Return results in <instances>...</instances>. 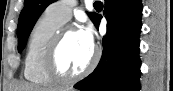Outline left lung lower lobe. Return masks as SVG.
Returning <instances> with one entry per match:
<instances>
[{
    "label": "left lung lower lobe",
    "mask_w": 173,
    "mask_h": 91,
    "mask_svg": "<svg viewBox=\"0 0 173 91\" xmlns=\"http://www.w3.org/2000/svg\"><path fill=\"white\" fill-rule=\"evenodd\" d=\"M108 32L95 70L74 85L82 91H139L141 0H105ZM102 16H96L98 28Z\"/></svg>",
    "instance_id": "obj_1"
}]
</instances>
